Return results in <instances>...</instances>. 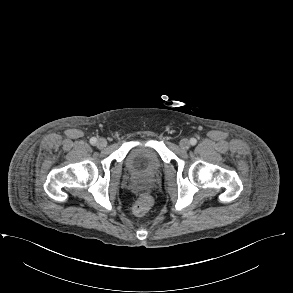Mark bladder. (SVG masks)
Here are the masks:
<instances>
[{
    "instance_id": "bladder-1",
    "label": "bladder",
    "mask_w": 293,
    "mask_h": 293,
    "mask_svg": "<svg viewBox=\"0 0 293 293\" xmlns=\"http://www.w3.org/2000/svg\"><path fill=\"white\" fill-rule=\"evenodd\" d=\"M126 167L136 177L153 180L161 174L163 163L154 148L141 145L128 154Z\"/></svg>"
}]
</instances>
